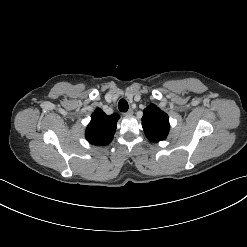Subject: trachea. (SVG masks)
<instances>
[{
    "mask_svg": "<svg viewBox=\"0 0 247 247\" xmlns=\"http://www.w3.org/2000/svg\"><path fill=\"white\" fill-rule=\"evenodd\" d=\"M129 106H128V103L125 99H121L119 102H118V109L121 111V112H127Z\"/></svg>",
    "mask_w": 247,
    "mask_h": 247,
    "instance_id": "1",
    "label": "trachea"
}]
</instances>
